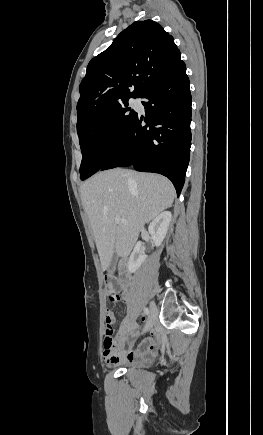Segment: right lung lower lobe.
<instances>
[{"mask_svg": "<svg viewBox=\"0 0 263 435\" xmlns=\"http://www.w3.org/2000/svg\"><path fill=\"white\" fill-rule=\"evenodd\" d=\"M184 62L147 89L141 98L146 117L134 124L101 167L133 166L137 171L168 177L177 195L184 185L191 146V94ZM142 120L146 122L141 125Z\"/></svg>", "mask_w": 263, "mask_h": 435, "instance_id": "obj_1", "label": "right lung lower lobe"}]
</instances>
